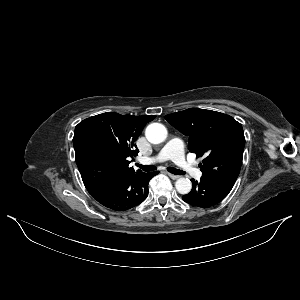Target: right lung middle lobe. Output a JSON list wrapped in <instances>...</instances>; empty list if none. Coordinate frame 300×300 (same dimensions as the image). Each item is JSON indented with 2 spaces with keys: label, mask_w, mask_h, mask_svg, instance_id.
<instances>
[{
  "label": "right lung middle lobe",
  "mask_w": 300,
  "mask_h": 300,
  "mask_svg": "<svg viewBox=\"0 0 300 300\" xmlns=\"http://www.w3.org/2000/svg\"><path fill=\"white\" fill-rule=\"evenodd\" d=\"M76 163L86 188L110 182L111 167L90 132L74 135Z\"/></svg>",
  "instance_id": "1"
}]
</instances>
